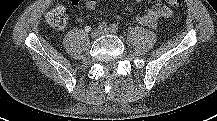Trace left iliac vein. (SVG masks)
<instances>
[{
  "instance_id": "4c4485c4",
  "label": "left iliac vein",
  "mask_w": 217,
  "mask_h": 121,
  "mask_svg": "<svg viewBox=\"0 0 217 121\" xmlns=\"http://www.w3.org/2000/svg\"><path fill=\"white\" fill-rule=\"evenodd\" d=\"M108 33H109L108 30H103V31L101 32V34H103V35L108 34Z\"/></svg>"
}]
</instances>
